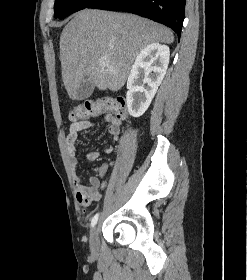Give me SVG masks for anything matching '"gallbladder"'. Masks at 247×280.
<instances>
[{
  "label": "gallbladder",
  "mask_w": 247,
  "mask_h": 280,
  "mask_svg": "<svg viewBox=\"0 0 247 280\" xmlns=\"http://www.w3.org/2000/svg\"><path fill=\"white\" fill-rule=\"evenodd\" d=\"M94 91L93 82L88 79L84 80L79 88L76 90L75 94L72 96V99L75 100H84L92 95Z\"/></svg>",
  "instance_id": "1"
}]
</instances>
